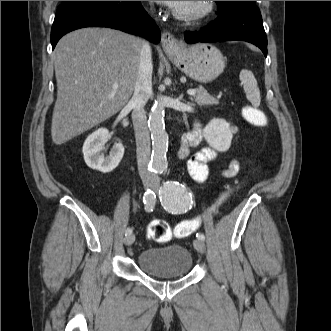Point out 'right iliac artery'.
Masks as SVG:
<instances>
[{
	"label": "right iliac artery",
	"instance_id": "1",
	"mask_svg": "<svg viewBox=\"0 0 331 331\" xmlns=\"http://www.w3.org/2000/svg\"><path fill=\"white\" fill-rule=\"evenodd\" d=\"M149 170L150 171H155L152 168H150ZM143 202H144V205H145V210L147 212L153 211V208H154L155 203H156V195H155V193L153 191H151L150 189H148L145 192V194H144ZM131 233H132V229L128 227L125 230V235H129Z\"/></svg>",
	"mask_w": 331,
	"mask_h": 331
}]
</instances>
